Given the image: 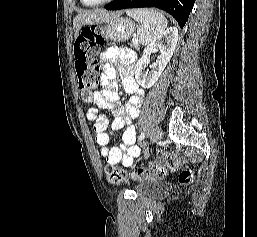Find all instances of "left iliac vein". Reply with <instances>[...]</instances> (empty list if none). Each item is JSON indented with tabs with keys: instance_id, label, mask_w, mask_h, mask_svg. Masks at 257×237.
Segmentation results:
<instances>
[{
	"instance_id": "obj_1",
	"label": "left iliac vein",
	"mask_w": 257,
	"mask_h": 237,
	"mask_svg": "<svg viewBox=\"0 0 257 237\" xmlns=\"http://www.w3.org/2000/svg\"><path fill=\"white\" fill-rule=\"evenodd\" d=\"M162 137V130L160 127H156L150 135V143L155 144Z\"/></svg>"
}]
</instances>
